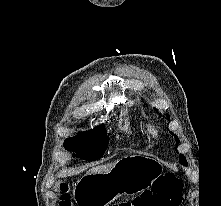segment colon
Returning a JSON list of instances; mask_svg holds the SVG:
<instances>
[{
	"label": "colon",
	"mask_w": 221,
	"mask_h": 206,
	"mask_svg": "<svg viewBox=\"0 0 221 206\" xmlns=\"http://www.w3.org/2000/svg\"><path fill=\"white\" fill-rule=\"evenodd\" d=\"M181 183L170 176L157 179L151 189L145 190L132 202H120L115 206H179L181 202ZM59 206H71V195L65 183L60 185Z\"/></svg>",
	"instance_id": "5ec220e1"
}]
</instances>
